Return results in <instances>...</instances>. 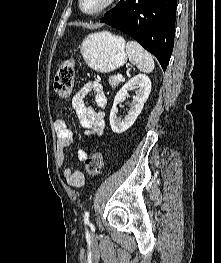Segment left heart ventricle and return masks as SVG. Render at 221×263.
<instances>
[{
    "label": "left heart ventricle",
    "mask_w": 221,
    "mask_h": 263,
    "mask_svg": "<svg viewBox=\"0 0 221 263\" xmlns=\"http://www.w3.org/2000/svg\"><path fill=\"white\" fill-rule=\"evenodd\" d=\"M105 0H83V7L87 11H94L98 9Z\"/></svg>",
    "instance_id": "obj_1"
}]
</instances>
